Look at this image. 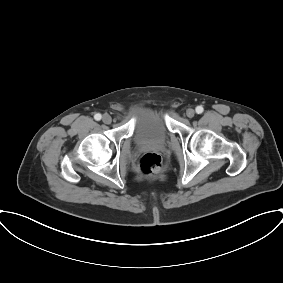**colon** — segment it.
Wrapping results in <instances>:
<instances>
[{
    "mask_svg": "<svg viewBox=\"0 0 283 283\" xmlns=\"http://www.w3.org/2000/svg\"><path fill=\"white\" fill-rule=\"evenodd\" d=\"M161 167V157L155 152H146L139 159V168L146 175L158 174Z\"/></svg>",
    "mask_w": 283,
    "mask_h": 283,
    "instance_id": "obj_1",
    "label": "colon"
}]
</instances>
